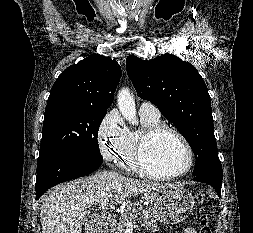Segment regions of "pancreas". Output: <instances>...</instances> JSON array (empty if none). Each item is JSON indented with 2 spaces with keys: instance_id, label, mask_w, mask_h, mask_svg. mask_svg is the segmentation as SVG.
Segmentation results:
<instances>
[{
  "instance_id": "1",
  "label": "pancreas",
  "mask_w": 253,
  "mask_h": 233,
  "mask_svg": "<svg viewBox=\"0 0 253 233\" xmlns=\"http://www.w3.org/2000/svg\"><path fill=\"white\" fill-rule=\"evenodd\" d=\"M141 216L139 218L140 223L146 230H149L153 233L158 231V225L155 220H153L152 216L146 213L145 209L141 204L133 203L129 204L125 212L122 214L121 218L119 219L118 225L115 227V233H124L125 228L128 225L129 218L132 216ZM134 218H132L133 220Z\"/></svg>"
}]
</instances>
